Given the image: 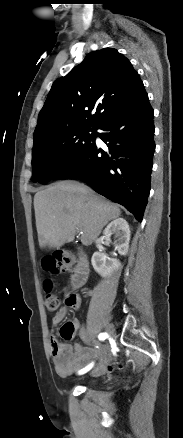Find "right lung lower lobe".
Wrapping results in <instances>:
<instances>
[{
  "label": "right lung lower lobe",
  "mask_w": 183,
  "mask_h": 438,
  "mask_svg": "<svg viewBox=\"0 0 183 438\" xmlns=\"http://www.w3.org/2000/svg\"><path fill=\"white\" fill-rule=\"evenodd\" d=\"M154 111L147 93L105 119L96 133L107 145L93 142L83 149L54 179L78 178L97 193L123 205L142 221L150 192Z\"/></svg>",
  "instance_id": "1"
}]
</instances>
